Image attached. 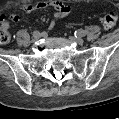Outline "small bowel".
<instances>
[{
    "label": "small bowel",
    "instance_id": "obj_1",
    "mask_svg": "<svg viewBox=\"0 0 119 119\" xmlns=\"http://www.w3.org/2000/svg\"><path fill=\"white\" fill-rule=\"evenodd\" d=\"M46 8H52L54 11L53 20L50 23V29L54 27L55 20L64 18L71 12V8L61 1H40L36 3H26L21 6L22 11L25 13H32L38 10H44ZM10 19L13 22H19L21 17L17 14H12ZM1 26L5 29H9L10 24L5 17L1 18Z\"/></svg>",
    "mask_w": 119,
    "mask_h": 119
}]
</instances>
